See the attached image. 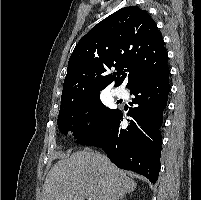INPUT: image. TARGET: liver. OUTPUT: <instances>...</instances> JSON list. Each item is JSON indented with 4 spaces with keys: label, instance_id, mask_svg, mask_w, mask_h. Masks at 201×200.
I'll return each mask as SVG.
<instances>
[{
    "label": "liver",
    "instance_id": "liver-1",
    "mask_svg": "<svg viewBox=\"0 0 201 200\" xmlns=\"http://www.w3.org/2000/svg\"><path fill=\"white\" fill-rule=\"evenodd\" d=\"M136 187L106 156L86 148L58 161L48 173L42 200H118Z\"/></svg>",
    "mask_w": 201,
    "mask_h": 200
}]
</instances>
